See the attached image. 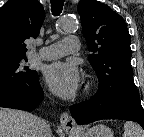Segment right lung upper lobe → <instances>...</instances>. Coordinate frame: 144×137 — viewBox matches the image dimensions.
Returning <instances> with one entry per match:
<instances>
[{
	"instance_id": "cb5924a9",
	"label": "right lung upper lobe",
	"mask_w": 144,
	"mask_h": 137,
	"mask_svg": "<svg viewBox=\"0 0 144 137\" xmlns=\"http://www.w3.org/2000/svg\"><path fill=\"white\" fill-rule=\"evenodd\" d=\"M43 21L38 0H9L0 8V65L25 58L24 41L38 36Z\"/></svg>"
}]
</instances>
